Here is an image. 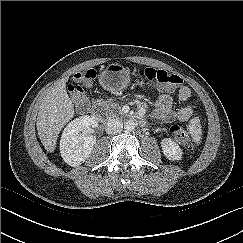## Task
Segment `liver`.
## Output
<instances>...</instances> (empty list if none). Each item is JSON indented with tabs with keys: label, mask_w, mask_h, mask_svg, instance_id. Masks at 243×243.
<instances>
[{
	"label": "liver",
	"mask_w": 243,
	"mask_h": 243,
	"mask_svg": "<svg viewBox=\"0 0 243 243\" xmlns=\"http://www.w3.org/2000/svg\"><path fill=\"white\" fill-rule=\"evenodd\" d=\"M67 79L60 80L44 97L37 116V131L42 145L54 152L58 134L74 116V105L66 91Z\"/></svg>",
	"instance_id": "liver-1"
}]
</instances>
